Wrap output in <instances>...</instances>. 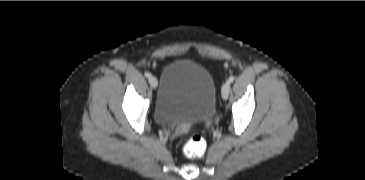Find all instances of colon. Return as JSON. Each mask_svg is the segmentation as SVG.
Instances as JSON below:
<instances>
[{
  "label": "colon",
  "instance_id": "obj_1",
  "mask_svg": "<svg viewBox=\"0 0 365 180\" xmlns=\"http://www.w3.org/2000/svg\"><path fill=\"white\" fill-rule=\"evenodd\" d=\"M207 148L206 141L200 135H193L182 145V153L186 158H201Z\"/></svg>",
  "mask_w": 365,
  "mask_h": 180
}]
</instances>
